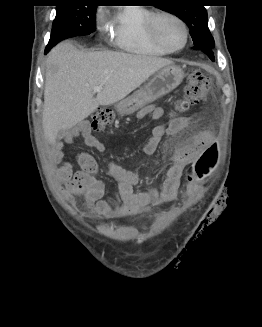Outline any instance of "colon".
Instances as JSON below:
<instances>
[{
  "label": "colon",
  "instance_id": "colon-1",
  "mask_svg": "<svg viewBox=\"0 0 262 327\" xmlns=\"http://www.w3.org/2000/svg\"><path fill=\"white\" fill-rule=\"evenodd\" d=\"M211 88L210 80L199 71H193L187 78L183 97L177 103L179 112H186L201 103ZM114 113L108 109H99L93 113L91 126L100 132L112 124ZM217 159V148L212 145L200 156L193 166L194 176L198 179L205 177Z\"/></svg>",
  "mask_w": 262,
  "mask_h": 327
}]
</instances>
